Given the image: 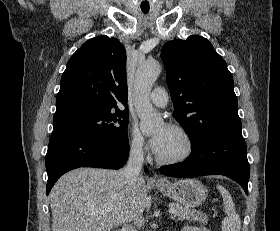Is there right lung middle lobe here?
<instances>
[{
  "label": "right lung middle lobe",
  "instance_id": "obj_1",
  "mask_svg": "<svg viewBox=\"0 0 280 231\" xmlns=\"http://www.w3.org/2000/svg\"><path fill=\"white\" fill-rule=\"evenodd\" d=\"M127 111H111L98 115L53 122V132H78L100 139H127Z\"/></svg>",
  "mask_w": 280,
  "mask_h": 231
}]
</instances>
